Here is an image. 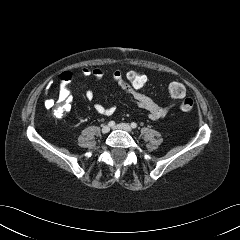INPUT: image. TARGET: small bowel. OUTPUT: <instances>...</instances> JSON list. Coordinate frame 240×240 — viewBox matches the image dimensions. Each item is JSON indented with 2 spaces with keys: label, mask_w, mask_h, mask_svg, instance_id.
Instances as JSON below:
<instances>
[{
  "label": "small bowel",
  "mask_w": 240,
  "mask_h": 240,
  "mask_svg": "<svg viewBox=\"0 0 240 240\" xmlns=\"http://www.w3.org/2000/svg\"><path fill=\"white\" fill-rule=\"evenodd\" d=\"M80 74L83 77L90 78L92 77L95 82L100 81L104 76V71L101 67H95V68H88L83 67L80 70ZM112 81L119 85L121 89L124 91V93L127 95V97L139 108L144 109L149 119L153 121H158L163 119L168 112L175 107L176 103L173 101L170 104L166 106H161L155 103L151 98H149L144 93L137 92L136 90L132 89L126 82L125 79V73L121 69H115L112 73ZM95 92L93 88H88L85 92V97L88 101H92L94 99ZM68 100L69 105L71 102V96L68 93ZM53 104L52 100L47 99L45 101V106L47 108L51 107ZM70 107V106H69ZM94 110L104 116H111L115 113L116 107L109 106L106 107L100 103L94 104Z\"/></svg>",
  "instance_id": "c3829d8e"
}]
</instances>
